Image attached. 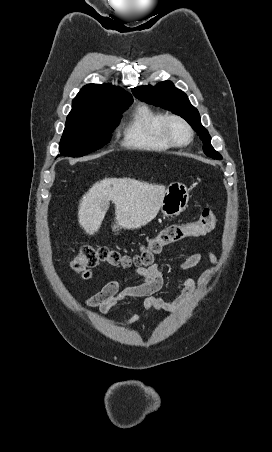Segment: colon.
Wrapping results in <instances>:
<instances>
[{"label": "colon", "instance_id": "1", "mask_svg": "<svg viewBox=\"0 0 272 452\" xmlns=\"http://www.w3.org/2000/svg\"><path fill=\"white\" fill-rule=\"evenodd\" d=\"M216 224V215L212 208H205L201 216L194 221L170 223L148 237L134 256H127L107 245L84 244L70 263L71 270L83 278H88L89 270L100 263L113 266L150 265L156 255L167 246L186 237L199 236L210 232Z\"/></svg>", "mask_w": 272, "mask_h": 452}]
</instances>
